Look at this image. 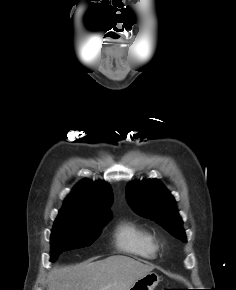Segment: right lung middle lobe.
Returning <instances> with one entry per match:
<instances>
[{"instance_id": "right-lung-middle-lobe-1", "label": "right lung middle lobe", "mask_w": 236, "mask_h": 290, "mask_svg": "<svg viewBox=\"0 0 236 290\" xmlns=\"http://www.w3.org/2000/svg\"><path fill=\"white\" fill-rule=\"evenodd\" d=\"M110 215L85 219L57 217L50 238L51 261L66 250L89 246L100 234Z\"/></svg>"}]
</instances>
